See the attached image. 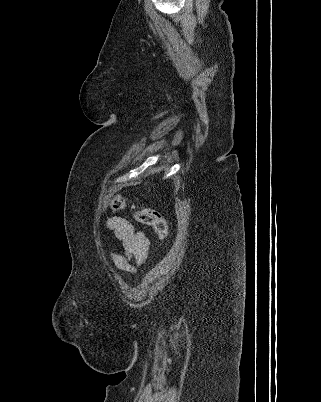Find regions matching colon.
Wrapping results in <instances>:
<instances>
[{"label":"colon","mask_w":321,"mask_h":402,"mask_svg":"<svg viewBox=\"0 0 321 402\" xmlns=\"http://www.w3.org/2000/svg\"><path fill=\"white\" fill-rule=\"evenodd\" d=\"M110 206L117 211H130L137 222L152 227L159 240L165 241L167 239L168 225L158 211L147 208L133 209L124 198L119 196L110 200Z\"/></svg>","instance_id":"colon-1"}]
</instances>
